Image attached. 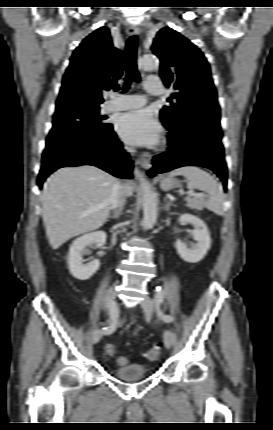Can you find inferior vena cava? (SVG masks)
<instances>
[{"label":"inferior vena cava","instance_id":"obj_1","mask_svg":"<svg viewBox=\"0 0 273 430\" xmlns=\"http://www.w3.org/2000/svg\"><path fill=\"white\" fill-rule=\"evenodd\" d=\"M129 152H133L132 149H128ZM126 193L123 188V184L116 180L113 184L111 194H110V209L122 210L125 204Z\"/></svg>","mask_w":273,"mask_h":430}]
</instances>
